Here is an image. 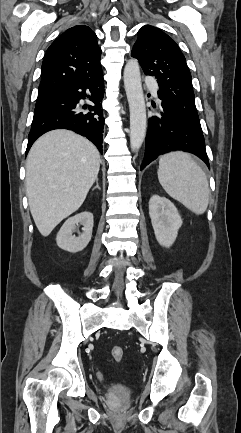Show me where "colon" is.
I'll return each mask as SVG.
<instances>
[{
    "instance_id": "1",
    "label": "colon",
    "mask_w": 241,
    "mask_h": 433,
    "mask_svg": "<svg viewBox=\"0 0 241 433\" xmlns=\"http://www.w3.org/2000/svg\"><path fill=\"white\" fill-rule=\"evenodd\" d=\"M111 355L116 361H121L124 356V351L120 346H114L111 349Z\"/></svg>"
}]
</instances>
